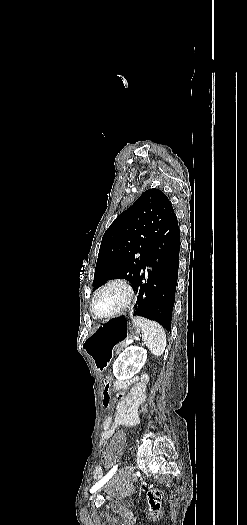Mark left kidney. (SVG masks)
Returning <instances> with one entry per match:
<instances>
[{
  "instance_id": "1",
  "label": "left kidney",
  "mask_w": 247,
  "mask_h": 525,
  "mask_svg": "<svg viewBox=\"0 0 247 525\" xmlns=\"http://www.w3.org/2000/svg\"><path fill=\"white\" fill-rule=\"evenodd\" d=\"M147 359V351L143 347H127L113 365V373L116 377H123L129 373V377H134L142 369Z\"/></svg>"
}]
</instances>
